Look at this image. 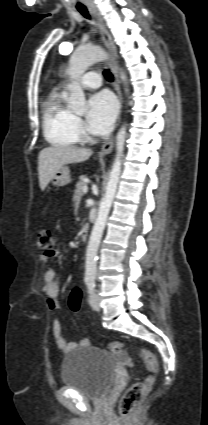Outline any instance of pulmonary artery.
<instances>
[{"label":"pulmonary artery","mask_w":208,"mask_h":425,"mask_svg":"<svg viewBox=\"0 0 208 425\" xmlns=\"http://www.w3.org/2000/svg\"><path fill=\"white\" fill-rule=\"evenodd\" d=\"M80 83L86 89H95L100 87L101 79L98 73L91 71L84 75Z\"/></svg>","instance_id":"obj_1"}]
</instances>
